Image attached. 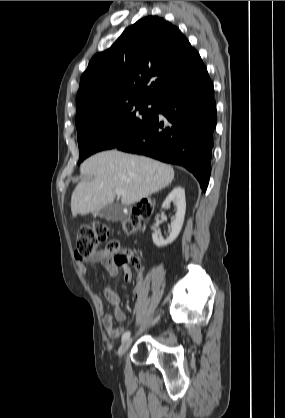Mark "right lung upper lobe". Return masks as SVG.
<instances>
[{"label":"right lung upper lobe","instance_id":"right-lung-upper-lobe-1","mask_svg":"<svg viewBox=\"0 0 285 418\" xmlns=\"http://www.w3.org/2000/svg\"><path fill=\"white\" fill-rule=\"evenodd\" d=\"M206 71L176 26L158 16L142 18L91 59L80 81L76 124L116 105L158 104Z\"/></svg>","mask_w":285,"mask_h":418}]
</instances>
